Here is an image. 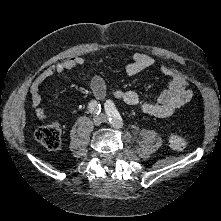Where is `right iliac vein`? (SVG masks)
Here are the masks:
<instances>
[{
    "instance_id": "right-iliac-vein-1",
    "label": "right iliac vein",
    "mask_w": 221,
    "mask_h": 221,
    "mask_svg": "<svg viewBox=\"0 0 221 221\" xmlns=\"http://www.w3.org/2000/svg\"><path fill=\"white\" fill-rule=\"evenodd\" d=\"M103 122V117L102 115H95L93 117V123L95 126H99Z\"/></svg>"
}]
</instances>
